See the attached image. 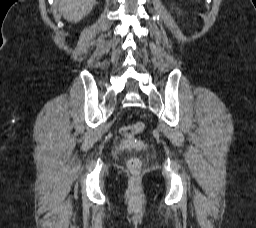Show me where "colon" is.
<instances>
[{"instance_id":"5ec220e1","label":"colon","mask_w":256,"mask_h":228,"mask_svg":"<svg viewBox=\"0 0 256 228\" xmlns=\"http://www.w3.org/2000/svg\"><path fill=\"white\" fill-rule=\"evenodd\" d=\"M144 130V124L142 122H136L130 125L123 126L120 133L125 137H133L140 134ZM129 171L133 174H138L142 167V161L139 157H132L127 163Z\"/></svg>"}]
</instances>
